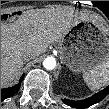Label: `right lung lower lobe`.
Wrapping results in <instances>:
<instances>
[{"label":"right lung lower lobe","instance_id":"obj_1","mask_svg":"<svg viewBox=\"0 0 109 109\" xmlns=\"http://www.w3.org/2000/svg\"><path fill=\"white\" fill-rule=\"evenodd\" d=\"M23 77L24 75L21 77L20 82L23 80ZM19 88H20V85L18 84L10 88L1 89V101L16 94Z\"/></svg>","mask_w":109,"mask_h":109}]
</instances>
